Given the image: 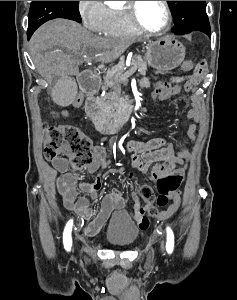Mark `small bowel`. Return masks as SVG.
<instances>
[{
	"instance_id": "1",
	"label": "small bowel",
	"mask_w": 237,
	"mask_h": 300,
	"mask_svg": "<svg viewBox=\"0 0 237 300\" xmlns=\"http://www.w3.org/2000/svg\"><path fill=\"white\" fill-rule=\"evenodd\" d=\"M206 72V64L200 62L192 76L188 77L184 83L186 92L185 103L192 108L188 112V117L192 120L185 145L176 147L168 143L162 137H155L146 142L138 140H129L125 145V152L129 155L131 164L143 173H149L154 179L169 173L179 172L184 174L190 158L186 146L189 142L194 141L197 122L199 119V110L193 104V99L189 95L191 89L203 79ZM176 83L181 81V78H174ZM150 79L145 78L142 81L144 87L150 85ZM166 81H159L154 84V87H159ZM170 84V83H169ZM179 85H174L173 91L167 96L169 98L179 91ZM82 101V96L79 95L72 103V106L77 107ZM67 111H62L59 116H67ZM110 164L109 152L103 146L94 148V157L92 162L87 165L84 172L87 176L86 181H82L81 175L78 172L69 171V161L65 157H58L52 161V167L60 175L56 178L57 191L62 197L63 205L66 209L75 212L81 219L87 220L88 224L85 227V233L88 236L96 235L108 220L111 212L115 209H121L124 206L122 192L113 188L112 191L106 194L101 202L98 211H95L90 206V200H96L98 192L102 187L104 170ZM177 165H180L177 167ZM97 174L94 179L92 176ZM78 190L86 193L87 196H78ZM135 218L139 228L145 230L149 227V218L147 217V208L141 206L139 198L133 194ZM179 207V200L173 203L159 214L161 219L169 218Z\"/></svg>"
}]
</instances>
